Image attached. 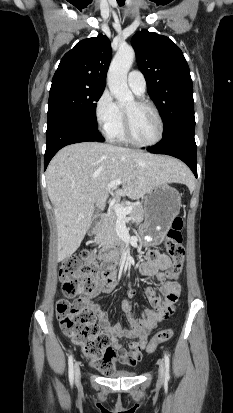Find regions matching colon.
I'll list each match as a JSON object with an SVG mask.
<instances>
[{"label": "colon", "mask_w": 233, "mask_h": 413, "mask_svg": "<svg viewBox=\"0 0 233 413\" xmlns=\"http://www.w3.org/2000/svg\"><path fill=\"white\" fill-rule=\"evenodd\" d=\"M183 227V218L177 216L167 233L166 252L171 257L172 264L166 271V278L170 280L178 277L184 262ZM112 273L111 264L102 263L95 252L90 250H83L78 256L66 259L59 269L63 291L69 297L77 294L82 297L73 301L59 300L56 306L57 319L64 335L81 347L83 355L91 361L94 368L105 374L114 370L116 353L111 347L110 338L100 332L95 314L86 298L94 293L103 278ZM173 334L171 328L159 330L148 343L147 352H154L159 344L170 340Z\"/></svg>", "instance_id": "obj_1"}]
</instances>
